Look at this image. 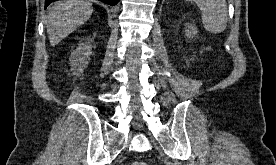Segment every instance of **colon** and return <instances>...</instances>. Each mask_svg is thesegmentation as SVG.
<instances>
[{"label":"colon","mask_w":276,"mask_h":165,"mask_svg":"<svg viewBox=\"0 0 276 165\" xmlns=\"http://www.w3.org/2000/svg\"><path fill=\"white\" fill-rule=\"evenodd\" d=\"M131 165H148V164L143 161H135Z\"/></svg>","instance_id":"1"}]
</instances>
